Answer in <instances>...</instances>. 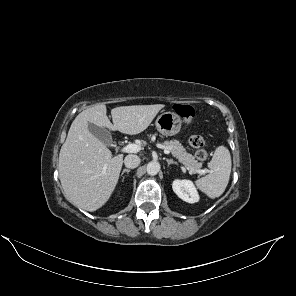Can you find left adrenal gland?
Listing matches in <instances>:
<instances>
[{"instance_id": "obj_1", "label": "left adrenal gland", "mask_w": 296, "mask_h": 296, "mask_svg": "<svg viewBox=\"0 0 296 296\" xmlns=\"http://www.w3.org/2000/svg\"><path fill=\"white\" fill-rule=\"evenodd\" d=\"M166 162H167V164H168V167H169V165H171V164H175V165H178L177 164V162H175V161H173V160H169V159H166Z\"/></svg>"}]
</instances>
